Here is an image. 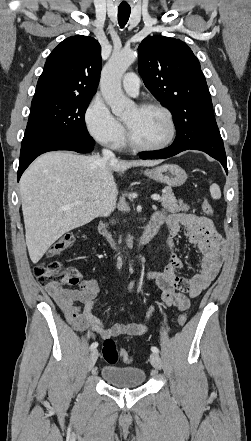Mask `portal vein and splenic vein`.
<instances>
[{
    "label": "portal vein and splenic vein",
    "instance_id": "1",
    "mask_svg": "<svg viewBox=\"0 0 251 441\" xmlns=\"http://www.w3.org/2000/svg\"><path fill=\"white\" fill-rule=\"evenodd\" d=\"M151 198H152V200H154V201H158V200L161 199L160 195H158V194H153V195L151 196ZM75 204H76V205H79V204H83V202H82V201H76Z\"/></svg>",
    "mask_w": 251,
    "mask_h": 441
}]
</instances>
